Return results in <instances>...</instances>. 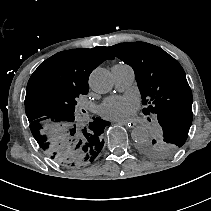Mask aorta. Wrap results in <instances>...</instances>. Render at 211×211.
<instances>
[{"label": "aorta", "instance_id": "obj_1", "mask_svg": "<svg viewBox=\"0 0 211 211\" xmlns=\"http://www.w3.org/2000/svg\"><path fill=\"white\" fill-rule=\"evenodd\" d=\"M89 84L93 91L103 94L113 88V79L108 70L96 68L90 75ZM131 137L135 142L141 143L149 138V131L143 126H137L132 130Z\"/></svg>", "mask_w": 211, "mask_h": 211}]
</instances>
